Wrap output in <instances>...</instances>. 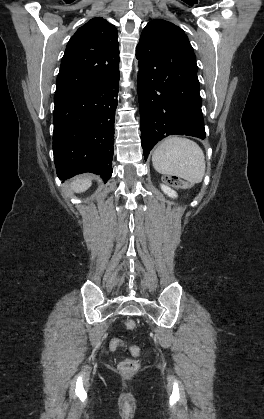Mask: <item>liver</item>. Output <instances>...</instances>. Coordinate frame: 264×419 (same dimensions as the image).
Returning a JSON list of instances; mask_svg holds the SVG:
<instances>
[{
    "mask_svg": "<svg viewBox=\"0 0 264 419\" xmlns=\"http://www.w3.org/2000/svg\"><path fill=\"white\" fill-rule=\"evenodd\" d=\"M92 182L90 178L87 177H81V178H76L71 186L72 189L76 192V193H81V192H85L90 186H91Z\"/></svg>",
    "mask_w": 264,
    "mask_h": 419,
    "instance_id": "6515ba94",
    "label": "liver"
}]
</instances>
